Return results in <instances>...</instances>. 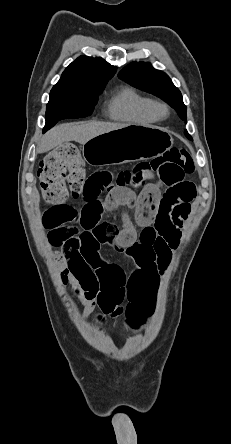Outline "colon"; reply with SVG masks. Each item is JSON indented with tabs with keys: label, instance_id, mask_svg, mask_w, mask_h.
Segmentation results:
<instances>
[{
	"label": "colon",
	"instance_id": "1",
	"mask_svg": "<svg viewBox=\"0 0 231 444\" xmlns=\"http://www.w3.org/2000/svg\"><path fill=\"white\" fill-rule=\"evenodd\" d=\"M194 169L193 158L185 148H172L162 156L140 163L131 170L120 171L116 175L115 185L142 186L146 179L155 176L164 185L176 189ZM39 178L43 198L50 205L43 216L44 226L55 230L67 225L71 221V213L64 201L69 193L74 197H81L87 181L84 163L77 147L69 144L49 152L40 163ZM177 213L185 216L186 208L178 207ZM63 256L69 269L80 268L83 264V258L78 252L64 250ZM156 292L157 287L151 284L140 294L130 298L126 316L132 327L143 324L151 314Z\"/></svg>",
	"mask_w": 231,
	"mask_h": 444
}]
</instances>
